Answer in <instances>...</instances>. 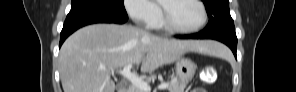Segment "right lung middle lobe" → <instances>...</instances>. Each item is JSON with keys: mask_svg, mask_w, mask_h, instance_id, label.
Returning <instances> with one entry per match:
<instances>
[{"mask_svg": "<svg viewBox=\"0 0 296 92\" xmlns=\"http://www.w3.org/2000/svg\"><path fill=\"white\" fill-rule=\"evenodd\" d=\"M123 2L124 0H72L71 9L89 6L103 8L120 14H127Z\"/></svg>", "mask_w": 296, "mask_h": 92, "instance_id": "dd1d6c3e", "label": "right lung middle lobe"}]
</instances>
